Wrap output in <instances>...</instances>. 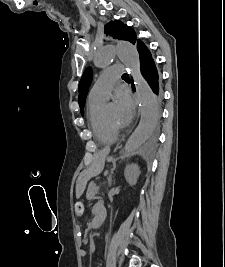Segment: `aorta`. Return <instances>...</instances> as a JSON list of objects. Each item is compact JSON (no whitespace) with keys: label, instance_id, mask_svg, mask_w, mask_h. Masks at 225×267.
I'll use <instances>...</instances> for the list:
<instances>
[{"label":"aorta","instance_id":"1","mask_svg":"<svg viewBox=\"0 0 225 267\" xmlns=\"http://www.w3.org/2000/svg\"><path fill=\"white\" fill-rule=\"evenodd\" d=\"M115 55L124 63L132 75L141 103L140 122L124 147V154L128 155L138 149L150 136L157 122V101L141 74L139 53L133 44L120 41L116 45L103 46L96 52L94 64L98 68H105L110 65Z\"/></svg>","mask_w":225,"mask_h":267}]
</instances>
